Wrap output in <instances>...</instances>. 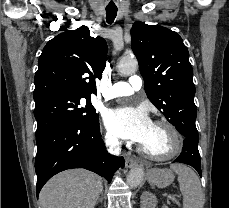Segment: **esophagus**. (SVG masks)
Returning <instances> with one entry per match:
<instances>
[{
	"label": "esophagus",
	"mask_w": 229,
	"mask_h": 208,
	"mask_svg": "<svg viewBox=\"0 0 229 208\" xmlns=\"http://www.w3.org/2000/svg\"><path fill=\"white\" fill-rule=\"evenodd\" d=\"M138 161L131 157L125 159V165L127 168H134L137 165Z\"/></svg>",
	"instance_id": "34e87169"
}]
</instances>
